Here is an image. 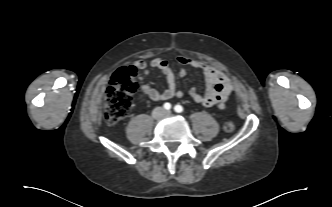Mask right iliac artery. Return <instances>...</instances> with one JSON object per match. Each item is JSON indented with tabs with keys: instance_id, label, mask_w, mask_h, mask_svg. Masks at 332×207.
Listing matches in <instances>:
<instances>
[{
	"instance_id": "82829eb1",
	"label": "right iliac artery",
	"mask_w": 332,
	"mask_h": 207,
	"mask_svg": "<svg viewBox=\"0 0 332 207\" xmlns=\"http://www.w3.org/2000/svg\"><path fill=\"white\" fill-rule=\"evenodd\" d=\"M163 107H164L165 110H170L171 109V104L167 102V103L164 104Z\"/></svg>"
}]
</instances>
